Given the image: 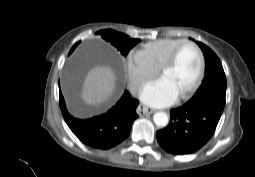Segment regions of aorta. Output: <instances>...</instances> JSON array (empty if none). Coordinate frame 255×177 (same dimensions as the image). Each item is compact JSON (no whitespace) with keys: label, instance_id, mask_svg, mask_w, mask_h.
Segmentation results:
<instances>
[{"label":"aorta","instance_id":"aorta-1","mask_svg":"<svg viewBox=\"0 0 255 177\" xmlns=\"http://www.w3.org/2000/svg\"><path fill=\"white\" fill-rule=\"evenodd\" d=\"M153 121L158 127H165L168 124V116L165 112H156L153 116Z\"/></svg>","mask_w":255,"mask_h":177}]
</instances>
